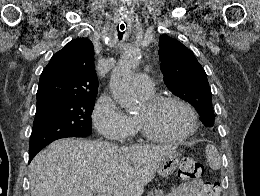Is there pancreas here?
Returning a JSON list of instances; mask_svg holds the SVG:
<instances>
[{
  "mask_svg": "<svg viewBox=\"0 0 260 196\" xmlns=\"http://www.w3.org/2000/svg\"><path fill=\"white\" fill-rule=\"evenodd\" d=\"M149 196H164L163 190H154V192H149Z\"/></svg>",
  "mask_w": 260,
  "mask_h": 196,
  "instance_id": "cf45deb5",
  "label": "pancreas"
}]
</instances>
